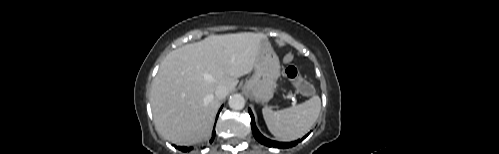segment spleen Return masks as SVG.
I'll use <instances>...</instances> for the list:
<instances>
[{"instance_id":"spleen-1","label":"spleen","mask_w":499,"mask_h":154,"mask_svg":"<svg viewBox=\"0 0 499 154\" xmlns=\"http://www.w3.org/2000/svg\"><path fill=\"white\" fill-rule=\"evenodd\" d=\"M321 110V100L315 95L309 100L283 110L270 107L262 109L269 131L283 141H293L304 136L314 125Z\"/></svg>"}]
</instances>
